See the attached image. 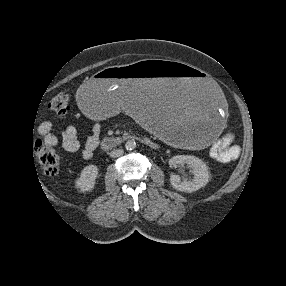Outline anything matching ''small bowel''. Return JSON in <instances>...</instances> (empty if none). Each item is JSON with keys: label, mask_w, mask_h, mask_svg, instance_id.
<instances>
[{"label": "small bowel", "mask_w": 286, "mask_h": 286, "mask_svg": "<svg viewBox=\"0 0 286 286\" xmlns=\"http://www.w3.org/2000/svg\"><path fill=\"white\" fill-rule=\"evenodd\" d=\"M39 135L44 138L46 144L54 146L58 143V137L54 133L53 125L50 122H43L37 129ZM101 127L98 123L92 125L91 134L81 143L78 139V132L75 126L64 127L61 131V145L69 153H80L83 159L92 158L99 146V136ZM229 152L232 154L230 159H235L239 155V148L231 146ZM229 159V160H230Z\"/></svg>", "instance_id": "obj_1"}]
</instances>
